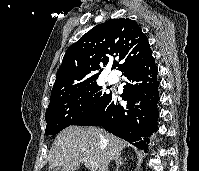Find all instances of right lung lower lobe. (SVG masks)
<instances>
[{
	"mask_svg": "<svg viewBox=\"0 0 199 171\" xmlns=\"http://www.w3.org/2000/svg\"><path fill=\"white\" fill-rule=\"evenodd\" d=\"M122 74L126 77V84L121 97L126 105L121 106L110 93L72 125L102 126L146 151L148 137L157 130L158 118L159 82L153 56L127 67Z\"/></svg>",
	"mask_w": 199,
	"mask_h": 171,
	"instance_id": "1",
	"label": "right lung lower lobe"
}]
</instances>
